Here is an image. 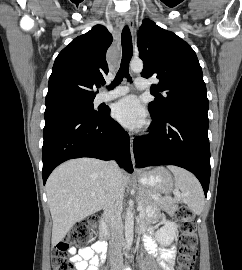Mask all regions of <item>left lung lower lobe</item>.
<instances>
[{"label":"left lung lower lobe","instance_id":"1","mask_svg":"<svg viewBox=\"0 0 242 270\" xmlns=\"http://www.w3.org/2000/svg\"><path fill=\"white\" fill-rule=\"evenodd\" d=\"M207 110L188 109L162 119L152 114L151 132L134 139L136 167L176 165L192 172L207 196L210 181Z\"/></svg>","mask_w":242,"mask_h":270}]
</instances>
